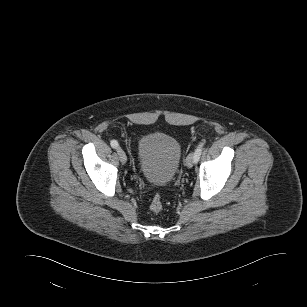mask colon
Listing matches in <instances>:
<instances>
[{
	"instance_id": "5ec220e1",
	"label": "colon",
	"mask_w": 307,
	"mask_h": 307,
	"mask_svg": "<svg viewBox=\"0 0 307 307\" xmlns=\"http://www.w3.org/2000/svg\"><path fill=\"white\" fill-rule=\"evenodd\" d=\"M150 209L155 213H158L163 209V202L159 194L154 195L150 203Z\"/></svg>"
}]
</instances>
